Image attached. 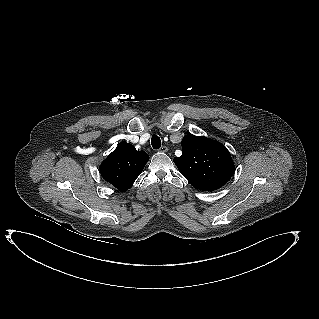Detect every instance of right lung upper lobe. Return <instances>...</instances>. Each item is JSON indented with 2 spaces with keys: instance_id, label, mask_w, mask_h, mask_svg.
<instances>
[{
  "instance_id": "cb5924a9",
  "label": "right lung upper lobe",
  "mask_w": 319,
  "mask_h": 319,
  "mask_svg": "<svg viewBox=\"0 0 319 319\" xmlns=\"http://www.w3.org/2000/svg\"><path fill=\"white\" fill-rule=\"evenodd\" d=\"M149 156L122 142L100 165L102 177L120 191L129 189L142 172Z\"/></svg>"
}]
</instances>
